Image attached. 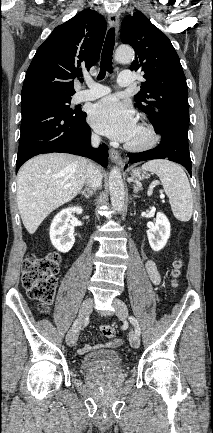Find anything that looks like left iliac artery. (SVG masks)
I'll return each instance as SVG.
<instances>
[{
	"mask_svg": "<svg viewBox=\"0 0 213 433\" xmlns=\"http://www.w3.org/2000/svg\"><path fill=\"white\" fill-rule=\"evenodd\" d=\"M129 320L132 323V325L135 327V333L139 336L141 334V329L137 319L133 316H130Z\"/></svg>",
	"mask_w": 213,
	"mask_h": 433,
	"instance_id": "1",
	"label": "left iliac artery"
}]
</instances>
